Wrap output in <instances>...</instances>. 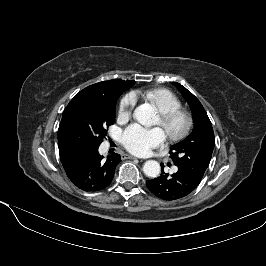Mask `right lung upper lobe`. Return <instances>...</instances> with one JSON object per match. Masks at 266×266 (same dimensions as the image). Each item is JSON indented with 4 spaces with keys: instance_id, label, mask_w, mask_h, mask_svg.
Listing matches in <instances>:
<instances>
[{
    "instance_id": "1",
    "label": "right lung upper lobe",
    "mask_w": 266,
    "mask_h": 266,
    "mask_svg": "<svg viewBox=\"0 0 266 266\" xmlns=\"http://www.w3.org/2000/svg\"><path fill=\"white\" fill-rule=\"evenodd\" d=\"M135 84V81H123L121 79L109 80L99 82L93 85L88 86L80 92L89 93L93 95L109 96L116 89L123 86L132 87ZM65 148L59 146V151Z\"/></svg>"
}]
</instances>
